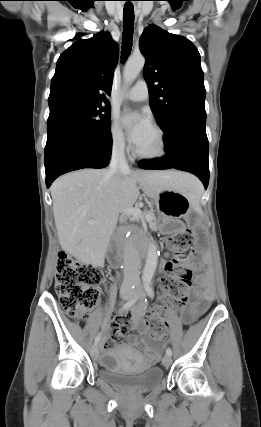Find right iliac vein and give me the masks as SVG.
Segmentation results:
<instances>
[{"mask_svg":"<svg viewBox=\"0 0 261 427\" xmlns=\"http://www.w3.org/2000/svg\"><path fill=\"white\" fill-rule=\"evenodd\" d=\"M132 296V292L129 290H125L121 293V297L124 300L129 299ZM90 355L92 357L93 360H97L98 356H99V350H98V346L95 344L94 346H92L91 350H90Z\"/></svg>","mask_w":261,"mask_h":427,"instance_id":"obj_1","label":"right iliac vein"}]
</instances>
